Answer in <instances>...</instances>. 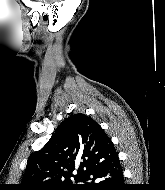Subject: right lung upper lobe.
Returning a JSON list of instances; mask_svg holds the SVG:
<instances>
[{"label":"right lung upper lobe","mask_w":165,"mask_h":190,"mask_svg":"<svg viewBox=\"0 0 165 190\" xmlns=\"http://www.w3.org/2000/svg\"><path fill=\"white\" fill-rule=\"evenodd\" d=\"M116 154L111 139L90 117L65 119L47 144L28 159L20 190H53L80 181L91 167ZM77 168V174L72 172ZM79 187V186H77Z\"/></svg>","instance_id":"cb5924a9"}]
</instances>
